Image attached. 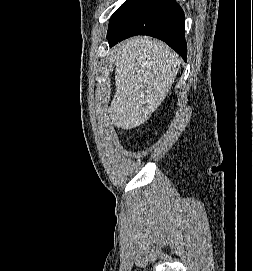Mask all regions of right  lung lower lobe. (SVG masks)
<instances>
[{
    "mask_svg": "<svg viewBox=\"0 0 253 271\" xmlns=\"http://www.w3.org/2000/svg\"><path fill=\"white\" fill-rule=\"evenodd\" d=\"M184 21V12L175 0H136L107 39L113 46L134 35H149L167 43L186 61Z\"/></svg>",
    "mask_w": 253,
    "mask_h": 271,
    "instance_id": "1",
    "label": "right lung lower lobe"
}]
</instances>
